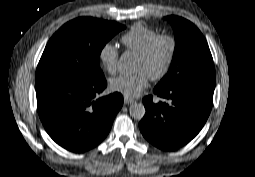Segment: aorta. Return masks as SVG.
Segmentation results:
<instances>
[{"label":"aorta","instance_id":"aorta-1","mask_svg":"<svg viewBox=\"0 0 255 177\" xmlns=\"http://www.w3.org/2000/svg\"><path fill=\"white\" fill-rule=\"evenodd\" d=\"M118 69L121 72H130L133 69L132 57L129 53H123L117 63ZM130 116L135 120H141L146 113L142 103H133L129 108Z\"/></svg>","mask_w":255,"mask_h":177}]
</instances>
